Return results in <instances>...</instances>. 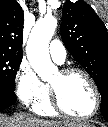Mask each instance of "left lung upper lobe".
I'll return each instance as SVG.
<instances>
[{"label": "left lung upper lobe", "mask_w": 108, "mask_h": 127, "mask_svg": "<svg viewBox=\"0 0 108 127\" xmlns=\"http://www.w3.org/2000/svg\"><path fill=\"white\" fill-rule=\"evenodd\" d=\"M61 36L70 54L87 70L101 94V113L108 117V32L85 2L67 0L62 10Z\"/></svg>", "instance_id": "left-lung-upper-lobe-1"}]
</instances>
